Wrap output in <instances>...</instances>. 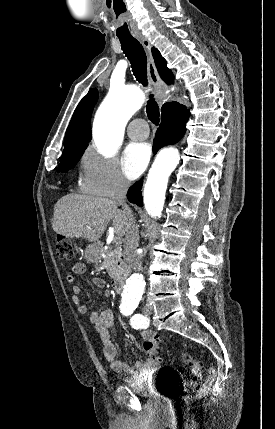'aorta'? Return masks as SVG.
<instances>
[{"mask_svg":"<svg viewBox=\"0 0 275 429\" xmlns=\"http://www.w3.org/2000/svg\"><path fill=\"white\" fill-rule=\"evenodd\" d=\"M143 93L134 86L112 88L101 104L94 120V141L98 151L113 155L122 143L129 118L142 106ZM179 160L178 150H163L153 164L144 187V206L151 217H160L165 200L168 179ZM141 274H133L124 286L122 302L135 305L144 290Z\"/></svg>","mask_w":275,"mask_h":429,"instance_id":"1","label":"aorta"}]
</instances>
